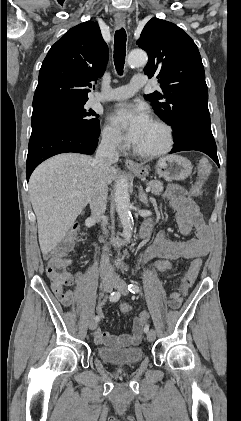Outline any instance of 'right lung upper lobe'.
<instances>
[{
    "label": "right lung upper lobe",
    "instance_id": "1",
    "mask_svg": "<svg viewBox=\"0 0 241 421\" xmlns=\"http://www.w3.org/2000/svg\"><path fill=\"white\" fill-rule=\"evenodd\" d=\"M108 56L98 23L87 21L71 28L53 44L42 63L33 107L87 101L88 88L103 75Z\"/></svg>",
    "mask_w": 241,
    "mask_h": 421
}]
</instances>
